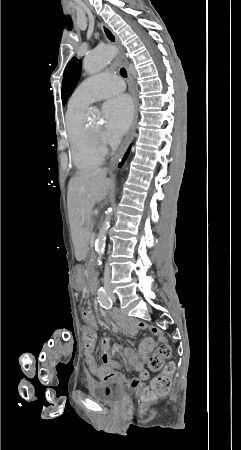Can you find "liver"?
<instances>
[{"label":"liver","instance_id":"liver-1","mask_svg":"<svg viewBox=\"0 0 241 450\" xmlns=\"http://www.w3.org/2000/svg\"><path fill=\"white\" fill-rule=\"evenodd\" d=\"M107 170L77 172L68 186L70 224L74 230L75 246H83L84 230L90 222V214L96 202L105 200L112 180L106 178Z\"/></svg>","mask_w":241,"mask_h":450}]
</instances>
